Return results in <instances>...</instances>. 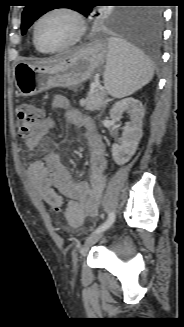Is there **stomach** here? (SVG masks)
Listing matches in <instances>:
<instances>
[{
  "label": "stomach",
  "mask_w": 184,
  "mask_h": 327,
  "mask_svg": "<svg viewBox=\"0 0 184 327\" xmlns=\"http://www.w3.org/2000/svg\"><path fill=\"white\" fill-rule=\"evenodd\" d=\"M107 54L108 45L96 41L57 62L18 63L14 68L16 88L23 96H33L53 87L77 89L101 72Z\"/></svg>",
  "instance_id": "obj_1"
}]
</instances>
